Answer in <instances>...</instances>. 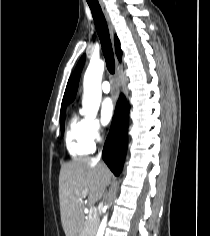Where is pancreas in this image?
I'll use <instances>...</instances> for the list:
<instances>
[{
	"label": "pancreas",
	"mask_w": 210,
	"mask_h": 236,
	"mask_svg": "<svg viewBox=\"0 0 210 236\" xmlns=\"http://www.w3.org/2000/svg\"><path fill=\"white\" fill-rule=\"evenodd\" d=\"M98 227V218L88 217L85 221L82 236H95Z\"/></svg>",
	"instance_id": "pancreas-1"
}]
</instances>
